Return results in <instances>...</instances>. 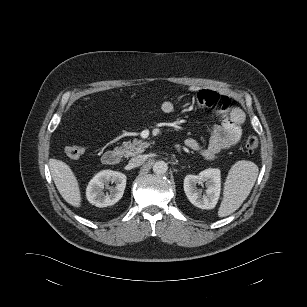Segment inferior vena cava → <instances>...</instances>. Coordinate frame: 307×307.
I'll list each match as a JSON object with an SVG mask.
<instances>
[{
	"label": "inferior vena cava",
	"mask_w": 307,
	"mask_h": 307,
	"mask_svg": "<svg viewBox=\"0 0 307 307\" xmlns=\"http://www.w3.org/2000/svg\"><path fill=\"white\" fill-rule=\"evenodd\" d=\"M145 159L144 155L135 156L129 160V166L131 168L139 167L145 162Z\"/></svg>",
	"instance_id": "602c4592"
}]
</instances>
